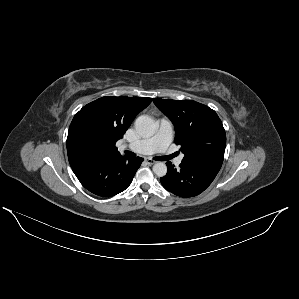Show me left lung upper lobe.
I'll return each instance as SVG.
<instances>
[{
    "label": "left lung upper lobe",
    "mask_w": 299,
    "mask_h": 299,
    "mask_svg": "<svg viewBox=\"0 0 299 299\" xmlns=\"http://www.w3.org/2000/svg\"><path fill=\"white\" fill-rule=\"evenodd\" d=\"M153 102L173 122L175 143L181 145L183 160L197 157L224 158L225 130L214 110L193 100L154 98Z\"/></svg>",
    "instance_id": "1"
}]
</instances>
